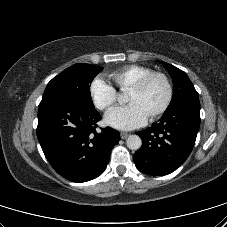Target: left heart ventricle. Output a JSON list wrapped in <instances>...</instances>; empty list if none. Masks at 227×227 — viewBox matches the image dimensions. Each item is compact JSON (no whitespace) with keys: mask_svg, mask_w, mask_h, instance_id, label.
I'll list each match as a JSON object with an SVG mask.
<instances>
[{"mask_svg":"<svg viewBox=\"0 0 227 227\" xmlns=\"http://www.w3.org/2000/svg\"><path fill=\"white\" fill-rule=\"evenodd\" d=\"M166 98V86L162 79L154 78L141 91H129L127 101L139 105L149 116L159 109Z\"/></svg>","mask_w":227,"mask_h":227,"instance_id":"left-heart-ventricle-1","label":"left heart ventricle"}]
</instances>
